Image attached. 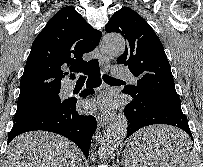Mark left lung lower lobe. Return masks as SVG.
I'll use <instances>...</instances> for the list:
<instances>
[{
  "label": "left lung lower lobe",
  "mask_w": 203,
  "mask_h": 167,
  "mask_svg": "<svg viewBox=\"0 0 203 167\" xmlns=\"http://www.w3.org/2000/svg\"><path fill=\"white\" fill-rule=\"evenodd\" d=\"M128 119L127 137L140 128L153 124H167L184 130L192 139V134L186 116L181 110V101L176 99L156 101L150 99H133L124 108ZM142 148L156 146L157 141L145 140L140 142ZM184 150L190 148V138L185 143H180Z\"/></svg>",
  "instance_id": "obj_1"
}]
</instances>
